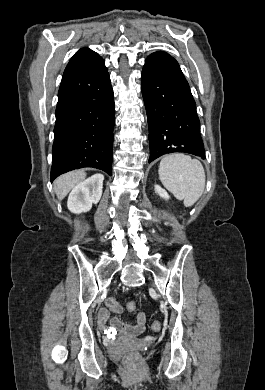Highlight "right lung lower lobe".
I'll return each instance as SVG.
<instances>
[{
  "instance_id": "right-lung-lower-lobe-1",
  "label": "right lung lower lobe",
  "mask_w": 265,
  "mask_h": 390,
  "mask_svg": "<svg viewBox=\"0 0 265 390\" xmlns=\"http://www.w3.org/2000/svg\"><path fill=\"white\" fill-rule=\"evenodd\" d=\"M115 105L104 60L62 80L54 127L51 181L82 167L111 175Z\"/></svg>"
}]
</instances>
